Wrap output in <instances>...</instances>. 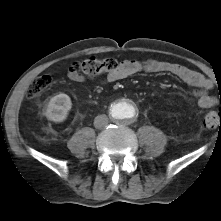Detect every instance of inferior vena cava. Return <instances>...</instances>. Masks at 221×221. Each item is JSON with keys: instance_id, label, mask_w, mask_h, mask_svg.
Wrapping results in <instances>:
<instances>
[{"instance_id": "1", "label": "inferior vena cava", "mask_w": 221, "mask_h": 221, "mask_svg": "<svg viewBox=\"0 0 221 221\" xmlns=\"http://www.w3.org/2000/svg\"><path fill=\"white\" fill-rule=\"evenodd\" d=\"M109 123L108 117L104 114L98 115L94 119V126L97 129H102L106 127Z\"/></svg>"}]
</instances>
